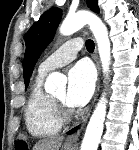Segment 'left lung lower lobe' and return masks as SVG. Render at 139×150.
<instances>
[{
  "label": "left lung lower lobe",
  "instance_id": "left-lung-lower-lobe-1",
  "mask_svg": "<svg viewBox=\"0 0 139 150\" xmlns=\"http://www.w3.org/2000/svg\"><path fill=\"white\" fill-rule=\"evenodd\" d=\"M76 130H77V128H74V129L70 130V131L68 132V134H72V133H74Z\"/></svg>",
  "mask_w": 139,
  "mask_h": 150
}]
</instances>
